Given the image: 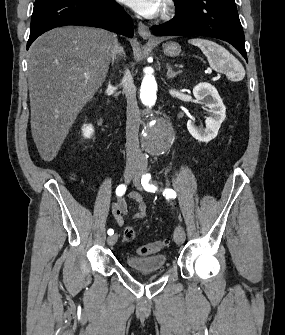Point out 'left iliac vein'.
Returning <instances> with one entry per match:
<instances>
[{"label": "left iliac vein", "mask_w": 285, "mask_h": 335, "mask_svg": "<svg viewBox=\"0 0 285 335\" xmlns=\"http://www.w3.org/2000/svg\"><path fill=\"white\" fill-rule=\"evenodd\" d=\"M133 184L136 186L138 190H141V184H140V174H138L137 177L133 178ZM174 240L177 244H182L185 241V231L181 225H178L174 230Z\"/></svg>", "instance_id": "1"}]
</instances>
